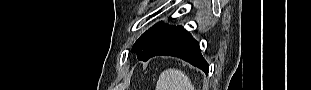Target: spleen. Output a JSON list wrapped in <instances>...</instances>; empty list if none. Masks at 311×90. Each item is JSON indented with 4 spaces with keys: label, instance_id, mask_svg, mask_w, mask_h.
Masks as SVG:
<instances>
[{
    "label": "spleen",
    "instance_id": "spleen-1",
    "mask_svg": "<svg viewBox=\"0 0 311 90\" xmlns=\"http://www.w3.org/2000/svg\"><path fill=\"white\" fill-rule=\"evenodd\" d=\"M156 90H194V86L183 71L170 68L160 74Z\"/></svg>",
    "mask_w": 311,
    "mask_h": 90
}]
</instances>
